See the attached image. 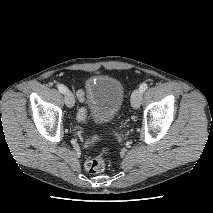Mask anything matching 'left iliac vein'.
I'll return each mask as SVG.
<instances>
[{"mask_svg": "<svg viewBox=\"0 0 213 213\" xmlns=\"http://www.w3.org/2000/svg\"><path fill=\"white\" fill-rule=\"evenodd\" d=\"M142 100V92L140 90L133 91L131 95V105L134 109H138L140 107Z\"/></svg>", "mask_w": 213, "mask_h": 213, "instance_id": "obj_1", "label": "left iliac vein"}]
</instances>
